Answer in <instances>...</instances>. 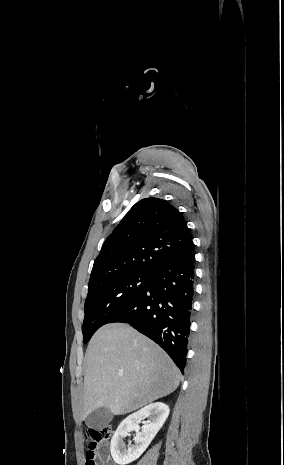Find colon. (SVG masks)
Segmentation results:
<instances>
[{
	"label": "colon",
	"instance_id": "colon-1",
	"mask_svg": "<svg viewBox=\"0 0 284 465\" xmlns=\"http://www.w3.org/2000/svg\"><path fill=\"white\" fill-rule=\"evenodd\" d=\"M113 430L109 425H92L84 437V450L86 452L85 465H96L92 455L99 444L111 438Z\"/></svg>",
	"mask_w": 284,
	"mask_h": 465
}]
</instances>
